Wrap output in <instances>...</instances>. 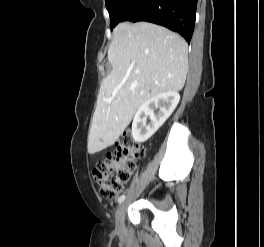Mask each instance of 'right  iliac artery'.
I'll return each instance as SVG.
<instances>
[{
	"label": "right iliac artery",
	"instance_id": "obj_1",
	"mask_svg": "<svg viewBox=\"0 0 264 247\" xmlns=\"http://www.w3.org/2000/svg\"><path fill=\"white\" fill-rule=\"evenodd\" d=\"M125 199V195H121L119 198H118V203H122Z\"/></svg>",
	"mask_w": 264,
	"mask_h": 247
}]
</instances>
